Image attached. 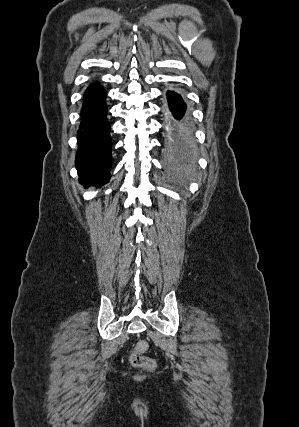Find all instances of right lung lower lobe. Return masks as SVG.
<instances>
[{
	"instance_id": "right-lung-lower-lobe-1",
	"label": "right lung lower lobe",
	"mask_w": 299,
	"mask_h": 427,
	"mask_svg": "<svg viewBox=\"0 0 299 427\" xmlns=\"http://www.w3.org/2000/svg\"><path fill=\"white\" fill-rule=\"evenodd\" d=\"M105 97L104 89L98 84L90 85L84 94L76 167L79 181L85 187L101 186L111 176V138Z\"/></svg>"
}]
</instances>
